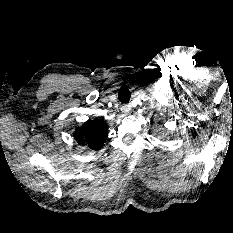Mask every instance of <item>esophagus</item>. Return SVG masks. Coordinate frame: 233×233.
I'll return each mask as SVG.
<instances>
[{
  "instance_id": "esophagus-1",
  "label": "esophagus",
  "mask_w": 233,
  "mask_h": 233,
  "mask_svg": "<svg viewBox=\"0 0 233 233\" xmlns=\"http://www.w3.org/2000/svg\"><path fill=\"white\" fill-rule=\"evenodd\" d=\"M121 109H122L123 114L125 115H128L131 111V108L128 105H124Z\"/></svg>"
}]
</instances>
